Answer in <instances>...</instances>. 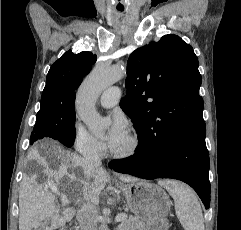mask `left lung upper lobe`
Returning a JSON list of instances; mask_svg holds the SVG:
<instances>
[{
  "label": "left lung upper lobe",
  "instance_id": "obj_1",
  "mask_svg": "<svg viewBox=\"0 0 241 230\" xmlns=\"http://www.w3.org/2000/svg\"><path fill=\"white\" fill-rule=\"evenodd\" d=\"M127 71V94L120 107L131 118L139 140L206 136L201 75L190 45L176 35H165L135 50Z\"/></svg>",
  "mask_w": 241,
  "mask_h": 230
}]
</instances>
